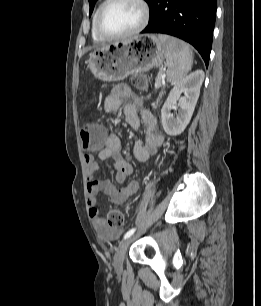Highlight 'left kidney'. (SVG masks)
Segmentation results:
<instances>
[{"mask_svg": "<svg viewBox=\"0 0 261 306\" xmlns=\"http://www.w3.org/2000/svg\"><path fill=\"white\" fill-rule=\"evenodd\" d=\"M204 77V72L197 70L174 83V87L161 110L162 126L168 135L181 134L189 124ZM181 94L184 95L181 96ZM175 105H178L179 111L176 117H173L171 110Z\"/></svg>", "mask_w": 261, "mask_h": 306, "instance_id": "obj_1", "label": "left kidney"}]
</instances>
